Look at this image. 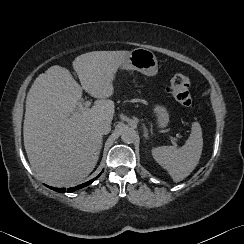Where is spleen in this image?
Returning <instances> with one entry per match:
<instances>
[{
    "label": "spleen",
    "mask_w": 244,
    "mask_h": 244,
    "mask_svg": "<svg viewBox=\"0 0 244 244\" xmlns=\"http://www.w3.org/2000/svg\"><path fill=\"white\" fill-rule=\"evenodd\" d=\"M202 129L193 122L191 134L181 148L162 146L151 150L154 160L162 166L171 178L178 182L186 178L197 166L202 154Z\"/></svg>",
    "instance_id": "spleen-1"
}]
</instances>
